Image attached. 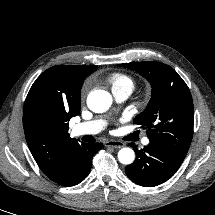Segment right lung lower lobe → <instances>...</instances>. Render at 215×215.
I'll use <instances>...</instances> for the list:
<instances>
[{
  "label": "right lung lower lobe",
  "instance_id": "right-lung-lower-lobe-1",
  "mask_svg": "<svg viewBox=\"0 0 215 215\" xmlns=\"http://www.w3.org/2000/svg\"><path fill=\"white\" fill-rule=\"evenodd\" d=\"M102 147V143L77 145L69 154L65 177L57 183L62 186H74L82 182L91 170L92 157Z\"/></svg>",
  "mask_w": 215,
  "mask_h": 215
}]
</instances>
